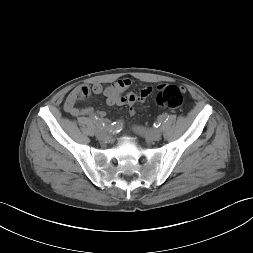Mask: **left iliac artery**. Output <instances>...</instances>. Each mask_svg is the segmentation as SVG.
Listing matches in <instances>:
<instances>
[{
    "mask_svg": "<svg viewBox=\"0 0 253 253\" xmlns=\"http://www.w3.org/2000/svg\"><path fill=\"white\" fill-rule=\"evenodd\" d=\"M165 119H167V114H165V115H163V116H161L160 117V122L158 121V126H160L161 125V122L163 121V120H165Z\"/></svg>",
    "mask_w": 253,
    "mask_h": 253,
    "instance_id": "1",
    "label": "left iliac artery"
}]
</instances>
